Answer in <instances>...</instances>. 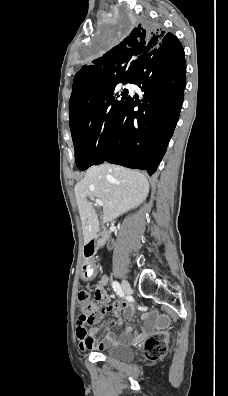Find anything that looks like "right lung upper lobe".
<instances>
[{
  "instance_id": "obj_1",
  "label": "right lung upper lobe",
  "mask_w": 228,
  "mask_h": 396,
  "mask_svg": "<svg viewBox=\"0 0 228 396\" xmlns=\"http://www.w3.org/2000/svg\"><path fill=\"white\" fill-rule=\"evenodd\" d=\"M176 46H181L177 37L161 28H135L121 43L77 72L69 102V119L81 114L117 82L130 80L140 61L158 47L166 50Z\"/></svg>"
}]
</instances>
